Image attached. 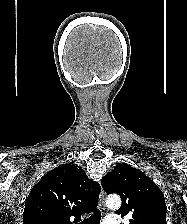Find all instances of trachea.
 <instances>
[{"mask_svg":"<svg viewBox=\"0 0 187 224\" xmlns=\"http://www.w3.org/2000/svg\"><path fill=\"white\" fill-rule=\"evenodd\" d=\"M101 212L100 210H95L94 213L87 219H85L80 224H100Z\"/></svg>","mask_w":187,"mask_h":224,"instance_id":"obj_1","label":"trachea"}]
</instances>
